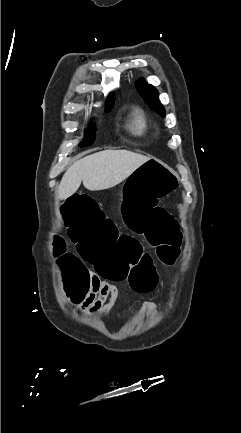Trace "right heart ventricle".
<instances>
[{
	"mask_svg": "<svg viewBox=\"0 0 241 433\" xmlns=\"http://www.w3.org/2000/svg\"><path fill=\"white\" fill-rule=\"evenodd\" d=\"M130 127L137 134H142L146 130L147 120L143 112L135 111L133 113Z\"/></svg>",
	"mask_w": 241,
	"mask_h": 433,
	"instance_id": "right-heart-ventricle-1",
	"label": "right heart ventricle"
}]
</instances>
